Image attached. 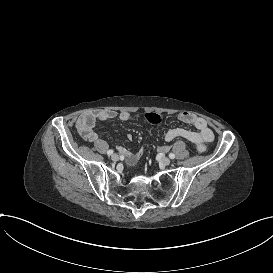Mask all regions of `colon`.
Masks as SVG:
<instances>
[{
  "instance_id": "5ec220e1",
  "label": "colon",
  "mask_w": 273,
  "mask_h": 273,
  "mask_svg": "<svg viewBox=\"0 0 273 273\" xmlns=\"http://www.w3.org/2000/svg\"><path fill=\"white\" fill-rule=\"evenodd\" d=\"M145 119L151 123V124H161L163 122V117L162 115L158 114V113H148L145 115ZM146 150H145V145L141 144L140 147L137 150L136 153V159L138 161H141L144 157Z\"/></svg>"
}]
</instances>
